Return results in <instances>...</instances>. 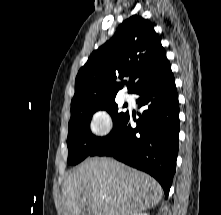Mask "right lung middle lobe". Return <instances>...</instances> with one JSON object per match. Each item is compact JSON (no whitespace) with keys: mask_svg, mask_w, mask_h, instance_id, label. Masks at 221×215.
Listing matches in <instances>:
<instances>
[{"mask_svg":"<svg viewBox=\"0 0 221 215\" xmlns=\"http://www.w3.org/2000/svg\"><path fill=\"white\" fill-rule=\"evenodd\" d=\"M98 110H106L113 119V130L105 137H96L90 133V120L93 113ZM127 113L119 111L114 99L95 103L72 104L71 118L68 123V163L76 165L88 157L112 134Z\"/></svg>","mask_w":221,"mask_h":215,"instance_id":"1","label":"right lung middle lobe"}]
</instances>
